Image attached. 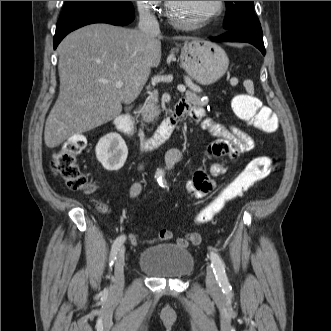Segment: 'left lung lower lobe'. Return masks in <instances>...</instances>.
<instances>
[{
  "label": "left lung lower lobe",
  "instance_id": "obj_1",
  "mask_svg": "<svg viewBox=\"0 0 331 331\" xmlns=\"http://www.w3.org/2000/svg\"><path fill=\"white\" fill-rule=\"evenodd\" d=\"M211 40L222 42H247L254 45L265 55L263 33L260 24L231 29L219 37L211 38Z\"/></svg>",
  "mask_w": 331,
  "mask_h": 331
}]
</instances>
